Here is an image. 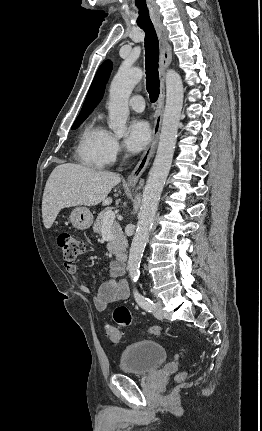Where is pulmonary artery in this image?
Here are the masks:
<instances>
[{"label":"pulmonary artery","instance_id":"pulmonary-artery-1","mask_svg":"<svg viewBox=\"0 0 262 431\" xmlns=\"http://www.w3.org/2000/svg\"><path fill=\"white\" fill-rule=\"evenodd\" d=\"M129 106L135 112H142L145 109V99L141 95H134L129 100Z\"/></svg>","mask_w":262,"mask_h":431}]
</instances>
